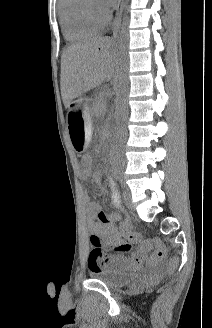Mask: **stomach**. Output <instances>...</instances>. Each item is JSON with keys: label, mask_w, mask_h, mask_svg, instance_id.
<instances>
[{"label": "stomach", "mask_w": 212, "mask_h": 328, "mask_svg": "<svg viewBox=\"0 0 212 328\" xmlns=\"http://www.w3.org/2000/svg\"><path fill=\"white\" fill-rule=\"evenodd\" d=\"M83 99L66 102L65 128L68 129L75 151H84L90 140L91 102H82Z\"/></svg>", "instance_id": "0dacf381"}]
</instances>
